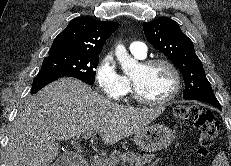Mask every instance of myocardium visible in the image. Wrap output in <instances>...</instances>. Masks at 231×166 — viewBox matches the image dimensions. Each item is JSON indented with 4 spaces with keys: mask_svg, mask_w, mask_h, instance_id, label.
Here are the masks:
<instances>
[{
    "mask_svg": "<svg viewBox=\"0 0 231 166\" xmlns=\"http://www.w3.org/2000/svg\"><path fill=\"white\" fill-rule=\"evenodd\" d=\"M139 65L142 68H150L155 65L165 66L172 74L174 85L169 95L166 96L165 98L159 100H151V99L144 98L140 94L135 80L131 77V88H132V95L134 99L148 106H164L172 102L180 92L181 85H182L181 75L178 68L170 60L165 58H152V59L144 60L140 62Z\"/></svg>",
    "mask_w": 231,
    "mask_h": 166,
    "instance_id": "f54148a6",
    "label": "myocardium"
}]
</instances>
